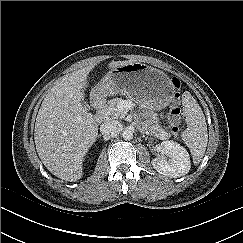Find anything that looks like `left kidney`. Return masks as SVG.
Returning a JSON list of instances; mask_svg holds the SVG:
<instances>
[{
  "mask_svg": "<svg viewBox=\"0 0 243 243\" xmlns=\"http://www.w3.org/2000/svg\"><path fill=\"white\" fill-rule=\"evenodd\" d=\"M161 156L152 160L154 169L162 175L177 178L187 174L191 167L187 150L174 141L160 144Z\"/></svg>",
  "mask_w": 243,
  "mask_h": 243,
  "instance_id": "1",
  "label": "left kidney"
}]
</instances>
